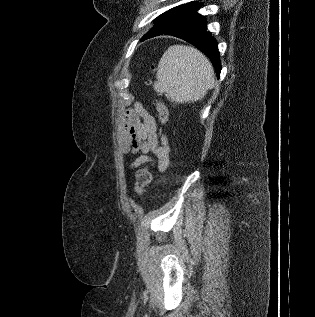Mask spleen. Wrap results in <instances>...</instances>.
Segmentation results:
<instances>
[{"label":"spleen","instance_id":"1","mask_svg":"<svg viewBox=\"0 0 315 317\" xmlns=\"http://www.w3.org/2000/svg\"><path fill=\"white\" fill-rule=\"evenodd\" d=\"M154 89L175 103L201 100L214 87V70L208 58L193 47L170 46L159 61Z\"/></svg>","mask_w":315,"mask_h":317}]
</instances>
